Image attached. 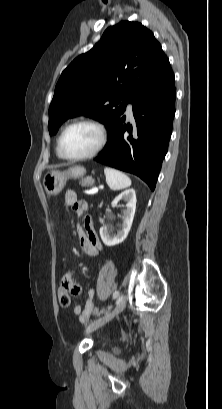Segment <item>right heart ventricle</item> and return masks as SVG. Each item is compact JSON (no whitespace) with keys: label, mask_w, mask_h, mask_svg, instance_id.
Wrapping results in <instances>:
<instances>
[{"label":"right heart ventricle","mask_w":222,"mask_h":409,"mask_svg":"<svg viewBox=\"0 0 222 409\" xmlns=\"http://www.w3.org/2000/svg\"><path fill=\"white\" fill-rule=\"evenodd\" d=\"M57 155H58L60 158H62L61 155H60V153H59V151H58V148H57Z\"/></svg>","instance_id":"1"}]
</instances>
